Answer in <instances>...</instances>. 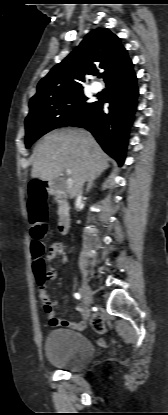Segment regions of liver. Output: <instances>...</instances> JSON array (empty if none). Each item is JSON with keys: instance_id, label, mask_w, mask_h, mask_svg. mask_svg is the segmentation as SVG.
Masks as SVG:
<instances>
[{"instance_id": "6515ba94", "label": "liver", "mask_w": 168, "mask_h": 415, "mask_svg": "<svg viewBox=\"0 0 168 415\" xmlns=\"http://www.w3.org/2000/svg\"><path fill=\"white\" fill-rule=\"evenodd\" d=\"M108 161L109 157L88 131L61 128L46 134L36 146L31 176L52 181L70 169V195L75 197L84 182L109 166Z\"/></svg>"}]
</instances>
